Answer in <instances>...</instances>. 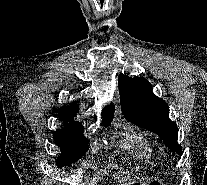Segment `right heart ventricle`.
<instances>
[{"mask_svg": "<svg viewBox=\"0 0 207 185\" xmlns=\"http://www.w3.org/2000/svg\"><path fill=\"white\" fill-rule=\"evenodd\" d=\"M125 141L128 145L138 150L142 155L149 156L150 145L142 135L129 130L126 133Z\"/></svg>", "mask_w": 207, "mask_h": 185, "instance_id": "1", "label": "right heart ventricle"}]
</instances>
